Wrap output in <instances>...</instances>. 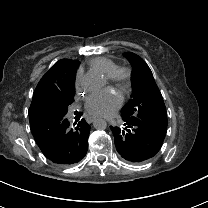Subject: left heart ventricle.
Instances as JSON below:
<instances>
[{"instance_id": "left-heart-ventricle-1", "label": "left heart ventricle", "mask_w": 208, "mask_h": 208, "mask_svg": "<svg viewBox=\"0 0 208 208\" xmlns=\"http://www.w3.org/2000/svg\"><path fill=\"white\" fill-rule=\"evenodd\" d=\"M104 83H105V82H104ZM104 83H103L101 86H103V85H104ZM101 86H100V87H101ZM98 88H99V87H98ZM98 88H96V89H98ZM96 89H95V90H96Z\"/></svg>"}]
</instances>
